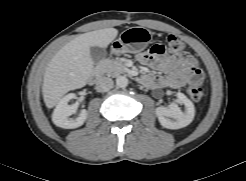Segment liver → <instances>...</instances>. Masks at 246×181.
<instances>
[{"label": "liver", "instance_id": "liver-1", "mask_svg": "<svg viewBox=\"0 0 246 181\" xmlns=\"http://www.w3.org/2000/svg\"><path fill=\"white\" fill-rule=\"evenodd\" d=\"M118 30L105 28L81 34L64 45L49 62L43 79L42 93L47 108H53L69 91L87 84L93 72L90 47H107Z\"/></svg>", "mask_w": 246, "mask_h": 181}]
</instances>
